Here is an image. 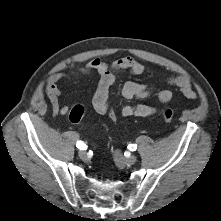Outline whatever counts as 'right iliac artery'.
Listing matches in <instances>:
<instances>
[{
	"instance_id": "82829eb1",
	"label": "right iliac artery",
	"mask_w": 221,
	"mask_h": 221,
	"mask_svg": "<svg viewBox=\"0 0 221 221\" xmlns=\"http://www.w3.org/2000/svg\"><path fill=\"white\" fill-rule=\"evenodd\" d=\"M76 146H77V148H79L81 150H86L87 149L86 144L84 142H82V141H78Z\"/></svg>"
}]
</instances>
